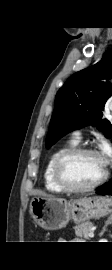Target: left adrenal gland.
<instances>
[{
    "label": "left adrenal gland",
    "instance_id": "1",
    "mask_svg": "<svg viewBox=\"0 0 112 270\" xmlns=\"http://www.w3.org/2000/svg\"><path fill=\"white\" fill-rule=\"evenodd\" d=\"M112 224V214L108 217L107 221L105 222L104 227L102 228V231L100 232V237L103 236L105 231L107 230L108 225Z\"/></svg>",
    "mask_w": 112,
    "mask_h": 270
}]
</instances>
